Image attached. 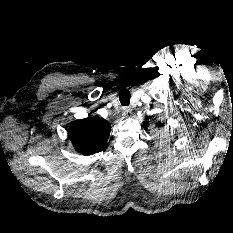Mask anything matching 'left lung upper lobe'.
<instances>
[{"label": "left lung upper lobe", "instance_id": "left-lung-upper-lobe-1", "mask_svg": "<svg viewBox=\"0 0 233 233\" xmlns=\"http://www.w3.org/2000/svg\"><path fill=\"white\" fill-rule=\"evenodd\" d=\"M157 126H158V127H161V126H163V124H162V123H159V124H157Z\"/></svg>", "mask_w": 233, "mask_h": 233}]
</instances>
